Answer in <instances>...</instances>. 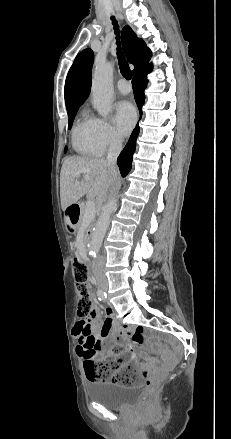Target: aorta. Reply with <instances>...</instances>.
Masks as SVG:
<instances>
[{
    "mask_svg": "<svg viewBox=\"0 0 231 439\" xmlns=\"http://www.w3.org/2000/svg\"><path fill=\"white\" fill-rule=\"evenodd\" d=\"M112 78L113 66L109 62H98L94 72L91 92L93 105L102 117H106L111 111L114 94ZM116 208L117 199L115 197L109 199L103 207L88 245L89 253L93 257L98 254L101 248L104 236L109 227L110 216Z\"/></svg>",
    "mask_w": 231,
    "mask_h": 439,
    "instance_id": "762f6f07",
    "label": "aorta"
}]
</instances>
